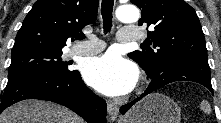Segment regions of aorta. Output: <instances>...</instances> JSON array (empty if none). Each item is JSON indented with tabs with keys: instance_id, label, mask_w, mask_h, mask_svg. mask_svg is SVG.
Returning <instances> with one entry per match:
<instances>
[{
	"instance_id": "1",
	"label": "aorta",
	"mask_w": 221,
	"mask_h": 123,
	"mask_svg": "<svg viewBox=\"0 0 221 123\" xmlns=\"http://www.w3.org/2000/svg\"><path fill=\"white\" fill-rule=\"evenodd\" d=\"M116 18L123 23H135L139 20L140 13L133 5H123L117 8Z\"/></svg>"
}]
</instances>
